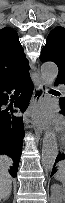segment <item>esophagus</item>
<instances>
[{"label": "esophagus", "instance_id": "1", "mask_svg": "<svg viewBox=\"0 0 65 203\" xmlns=\"http://www.w3.org/2000/svg\"><path fill=\"white\" fill-rule=\"evenodd\" d=\"M46 98H47V86L45 82L42 79H40L39 83L34 88L30 105V113L34 117L33 128L35 132L39 135L42 134V130L44 129V122H41L36 115L40 107L44 104Z\"/></svg>", "mask_w": 65, "mask_h": 203}]
</instances>
